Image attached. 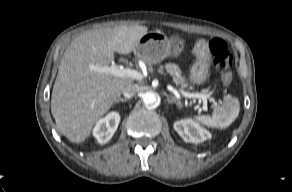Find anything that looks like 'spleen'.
I'll list each match as a JSON object with an SVG mask.
<instances>
[{"label": "spleen", "instance_id": "1", "mask_svg": "<svg viewBox=\"0 0 292 192\" xmlns=\"http://www.w3.org/2000/svg\"><path fill=\"white\" fill-rule=\"evenodd\" d=\"M240 104L237 98L226 96L224 104L216 107L212 116L202 115L195 118L207 127L212 128H227L239 115Z\"/></svg>", "mask_w": 292, "mask_h": 192}]
</instances>
